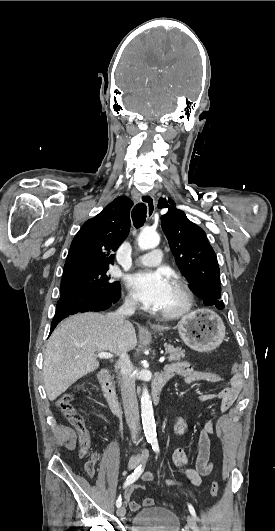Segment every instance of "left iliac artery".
Masks as SVG:
<instances>
[{"mask_svg": "<svg viewBox=\"0 0 275 531\" xmlns=\"http://www.w3.org/2000/svg\"><path fill=\"white\" fill-rule=\"evenodd\" d=\"M151 445H152V449L154 450V452L156 454H159L160 450H159V445H158L157 439L151 440ZM188 509H189L191 515L195 518V520H197L194 507L191 504H188Z\"/></svg>", "mask_w": 275, "mask_h": 531, "instance_id": "44dca946", "label": "left iliac artery"}]
</instances>
